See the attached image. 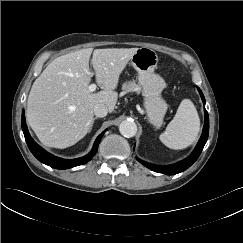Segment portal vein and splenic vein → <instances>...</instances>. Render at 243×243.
Segmentation results:
<instances>
[{"label": "portal vein and splenic vein", "mask_w": 243, "mask_h": 243, "mask_svg": "<svg viewBox=\"0 0 243 243\" xmlns=\"http://www.w3.org/2000/svg\"><path fill=\"white\" fill-rule=\"evenodd\" d=\"M96 88H97V85L96 84H91V85H89L88 90L90 92H94L96 90Z\"/></svg>", "instance_id": "obj_1"}]
</instances>
